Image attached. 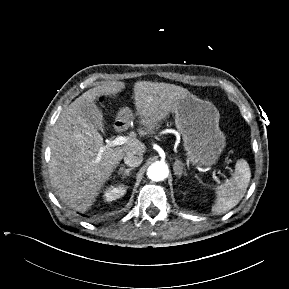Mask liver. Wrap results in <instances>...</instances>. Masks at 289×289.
Listing matches in <instances>:
<instances>
[{
    "mask_svg": "<svg viewBox=\"0 0 289 289\" xmlns=\"http://www.w3.org/2000/svg\"><path fill=\"white\" fill-rule=\"evenodd\" d=\"M124 88L123 82L109 81L89 89L60 114L52 129L50 182L60 200L78 211L91 207L128 152L143 154L146 150L134 136L122 146H104L99 129L85 117V109L96 107L97 98L115 95ZM189 94L187 89L174 84L135 83L134 104L139 123L144 128L142 134H153L169 113L174 112L179 101ZM98 124L102 125V122ZM98 155L100 160H97Z\"/></svg>",
    "mask_w": 289,
    "mask_h": 289,
    "instance_id": "liver-1",
    "label": "liver"
}]
</instances>
